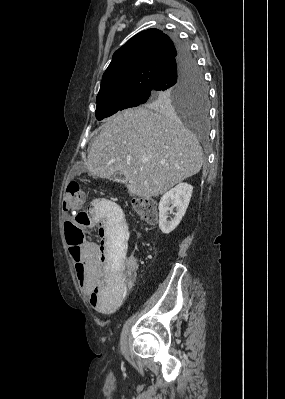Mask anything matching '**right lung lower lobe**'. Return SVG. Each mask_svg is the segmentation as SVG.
Listing matches in <instances>:
<instances>
[{
	"label": "right lung lower lobe",
	"instance_id": "right-lung-lower-lobe-1",
	"mask_svg": "<svg viewBox=\"0 0 285 399\" xmlns=\"http://www.w3.org/2000/svg\"><path fill=\"white\" fill-rule=\"evenodd\" d=\"M174 43L177 57L160 74L153 86V90H163L176 84L184 72L196 64L187 45L177 39L174 40Z\"/></svg>",
	"mask_w": 285,
	"mask_h": 399
}]
</instances>
